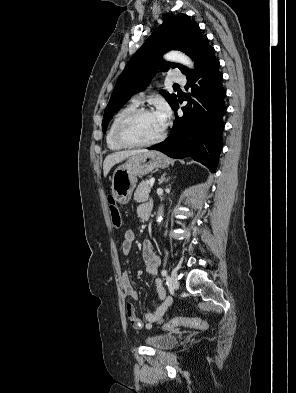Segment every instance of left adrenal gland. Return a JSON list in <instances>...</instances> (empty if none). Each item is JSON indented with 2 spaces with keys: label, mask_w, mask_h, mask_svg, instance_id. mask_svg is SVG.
Returning <instances> with one entry per match:
<instances>
[{
  "label": "left adrenal gland",
  "mask_w": 296,
  "mask_h": 393,
  "mask_svg": "<svg viewBox=\"0 0 296 393\" xmlns=\"http://www.w3.org/2000/svg\"><path fill=\"white\" fill-rule=\"evenodd\" d=\"M165 176H166V173H164V174L160 177V179H159V184H160V185H161L162 183H164V182H167V181L170 179V177L166 179Z\"/></svg>",
  "instance_id": "left-adrenal-gland-1"
}]
</instances>
